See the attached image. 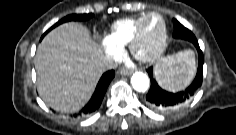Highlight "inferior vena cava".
Returning <instances> with one entry per match:
<instances>
[{
    "instance_id": "602c4592",
    "label": "inferior vena cava",
    "mask_w": 236,
    "mask_h": 135,
    "mask_svg": "<svg viewBox=\"0 0 236 135\" xmlns=\"http://www.w3.org/2000/svg\"><path fill=\"white\" fill-rule=\"evenodd\" d=\"M103 65L105 70L114 69L117 67V62H115L111 58H106L103 62Z\"/></svg>"
}]
</instances>
